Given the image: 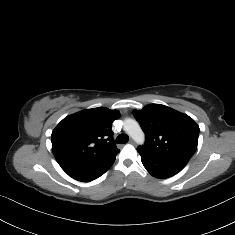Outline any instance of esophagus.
Returning <instances> with one entry per match:
<instances>
[{"mask_svg": "<svg viewBox=\"0 0 235 235\" xmlns=\"http://www.w3.org/2000/svg\"><path fill=\"white\" fill-rule=\"evenodd\" d=\"M129 143L130 144H135V142H134V140L132 138H130Z\"/></svg>", "mask_w": 235, "mask_h": 235, "instance_id": "1", "label": "esophagus"}]
</instances>
